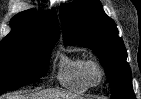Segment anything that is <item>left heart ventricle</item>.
I'll return each mask as SVG.
<instances>
[{
	"label": "left heart ventricle",
	"instance_id": "obj_1",
	"mask_svg": "<svg viewBox=\"0 0 141 99\" xmlns=\"http://www.w3.org/2000/svg\"><path fill=\"white\" fill-rule=\"evenodd\" d=\"M91 78H92L94 81L98 80L99 74H98V71H97L96 69H92V70H91Z\"/></svg>",
	"mask_w": 141,
	"mask_h": 99
}]
</instances>
